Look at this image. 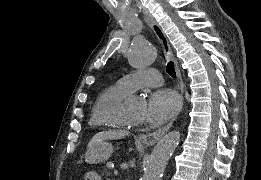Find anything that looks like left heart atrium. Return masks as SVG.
<instances>
[{
  "mask_svg": "<svg viewBox=\"0 0 261 180\" xmlns=\"http://www.w3.org/2000/svg\"><path fill=\"white\" fill-rule=\"evenodd\" d=\"M179 95L168 88L156 89L147 98L143 109L146 121H160L173 116L180 108Z\"/></svg>",
  "mask_w": 261,
  "mask_h": 180,
  "instance_id": "39dd6f15",
  "label": "left heart atrium"
}]
</instances>
